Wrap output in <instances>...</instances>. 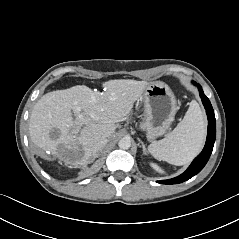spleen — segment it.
<instances>
[{
	"mask_svg": "<svg viewBox=\"0 0 239 239\" xmlns=\"http://www.w3.org/2000/svg\"><path fill=\"white\" fill-rule=\"evenodd\" d=\"M206 137V125L199 104L193 100L176 128L162 140L151 143L148 151L158 160L182 166L201 151Z\"/></svg>",
	"mask_w": 239,
	"mask_h": 239,
	"instance_id": "obj_1",
	"label": "spleen"
}]
</instances>
